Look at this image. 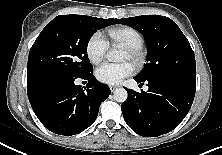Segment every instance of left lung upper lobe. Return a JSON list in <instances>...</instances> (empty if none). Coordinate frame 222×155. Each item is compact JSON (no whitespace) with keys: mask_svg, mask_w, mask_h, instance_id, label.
Instances as JSON below:
<instances>
[{"mask_svg":"<svg viewBox=\"0 0 222 155\" xmlns=\"http://www.w3.org/2000/svg\"><path fill=\"white\" fill-rule=\"evenodd\" d=\"M117 22L136 29L146 40L147 63L137 78L177 77L196 82L194 52L174 21L160 15H142Z\"/></svg>","mask_w":222,"mask_h":155,"instance_id":"left-lung-upper-lobe-1","label":"left lung upper lobe"}]
</instances>
